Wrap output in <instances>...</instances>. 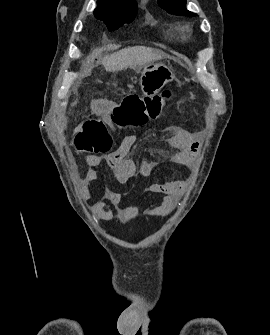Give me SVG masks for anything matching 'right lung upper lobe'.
Instances as JSON below:
<instances>
[{"label": "right lung upper lobe", "mask_w": 270, "mask_h": 335, "mask_svg": "<svg viewBox=\"0 0 270 335\" xmlns=\"http://www.w3.org/2000/svg\"><path fill=\"white\" fill-rule=\"evenodd\" d=\"M137 5L134 0H98V7L110 8L117 6Z\"/></svg>", "instance_id": "right-lung-upper-lobe-1"}]
</instances>
